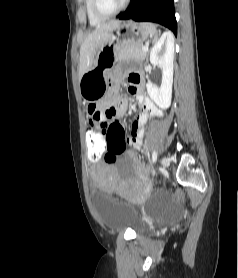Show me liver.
Segmentation results:
<instances>
[{"mask_svg": "<svg viewBox=\"0 0 238 278\" xmlns=\"http://www.w3.org/2000/svg\"><path fill=\"white\" fill-rule=\"evenodd\" d=\"M120 24L119 20L102 23L85 38L80 49L79 79L94 65L97 53L109 42L111 32Z\"/></svg>", "mask_w": 238, "mask_h": 278, "instance_id": "obj_1", "label": "liver"}]
</instances>
